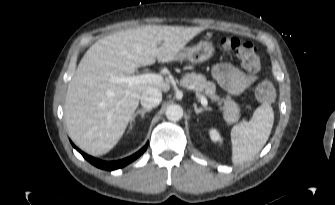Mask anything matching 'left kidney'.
<instances>
[{"instance_id":"left-kidney-1","label":"left kidney","mask_w":335,"mask_h":205,"mask_svg":"<svg viewBox=\"0 0 335 205\" xmlns=\"http://www.w3.org/2000/svg\"><path fill=\"white\" fill-rule=\"evenodd\" d=\"M209 135L213 142H220V143L222 142V138L216 129H211L209 131Z\"/></svg>"}]
</instances>
